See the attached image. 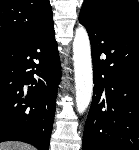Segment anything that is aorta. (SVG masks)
<instances>
[{
  "mask_svg": "<svg viewBox=\"0 0 139 150\" xmlns=\"http://www.w3.org/2000/svg\"><path fill=\"white\" fill-rule=\"evenodd\" d=\"M76 106L81 114L89 106L93 93V71L90 40L86 29L79 26L73 41Z\"/></svg>",
  "mask_w": 139,
  "mask_h": 150,
  "instance_id": "762f6f07",
  "label": "aorta"
}]
</instances>
